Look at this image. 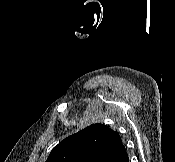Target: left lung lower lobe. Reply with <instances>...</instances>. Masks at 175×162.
Instances as JSON below:
<instances>
[{"label":"left lung lower lobe","instance_id":"left-lung-lower-lobe-1","mask_svg":"<svg viewBox=\"0 0 175 162\" xmlns=\"http://www.w3.org/2000/svg\"><path fill=\"white\" fill-rule=\"evenodd\" d=\"M105 162H129V158L124 145L121 143L108 156Z\"/></svg>","mask_w":175,"mask_h":162}]
</instances>
